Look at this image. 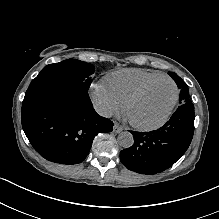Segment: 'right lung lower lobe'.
Returning <instances> with one entry per match:
<instances>
[{
	"mask_svg": "<svg viewBox=\"0 0 219 219\" xmlns=\"http://www.w3.org/2000/svg\"><path fill=\"white\" fill-rule=\"evenodd\" d=\"M21 121L35 150L61 164L82 162L94 137L113 129L112 121L95 112L87 90L78 83L53 78L31 82Z\"/></svg>",
	"mask_w": 219,
	"mask_h": 219,
	"instance_id": "98d812e1",
	"label": "right lung lower lobe"
}]
</instances>
